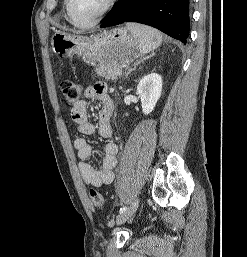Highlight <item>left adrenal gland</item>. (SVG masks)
<instances>
[{
  "label": "left adrenal gland",
  "instance_id": "a2214340",
  "mask_svg": "<svg viewBox=\"0 0 247 257\" xmlns=\"http://www.w3.org/2000/svg\"><path fill=\"white\" fill-rule=\"evenodd\" d=\"M151 56H147L143 59H141L140 61H137L135 64H134V67L132 69H130L127 73H126V77L132 72V71H135L136 67L141 63L143 62L144 60L150 58Z\"/></svg>",
  "mask_w": 247,
  "mask_h": 257
}]
</instances>
